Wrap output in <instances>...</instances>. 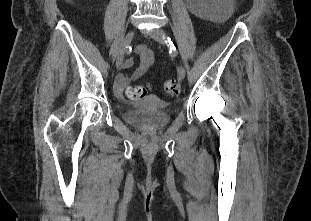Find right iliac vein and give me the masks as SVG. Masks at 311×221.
Segmentation results:
<instances>
[{
	"mask_svg": "<svg viewBox=\"0 0 311 221\" xmlns=\"http://www.w3.org/2000/svg\"><path fill=\"white\" fill-rule=\"evenodd\" d=\"M134 35H135V32L133 30H131L125 36L123 44H122V46L119 50V53L117 55V59H116V67L117 68H120V66L122 65V62L124 60V56L128 50L129 45L131 44V42L134 38Z\"/></svg>",
	"mask_w": 311,
	"mask_h": 221,
	"instance_id": "1",
	"label": "right iliac vein"
}]
</instances>
